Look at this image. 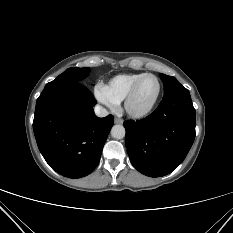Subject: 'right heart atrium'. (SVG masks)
Wrapping results in <instances>:
<instances>
[{"mask_svg": "<svg viewBox=\"0 0 233 233\" xmlns=\"http://www.w3.org/2000/svg\"><path fill=\"white\" fill-rule=\"evenodd\" d=\"M94 96L99 102L108 107L112 108L117 105V102L111 96L108 88L103 84L99 83L94 87Z\"/></svg>", "mask_w": 233, "mask_h": 233, "instance_id": "obj_1", "label": "right heart atrium"}]
</instances>
